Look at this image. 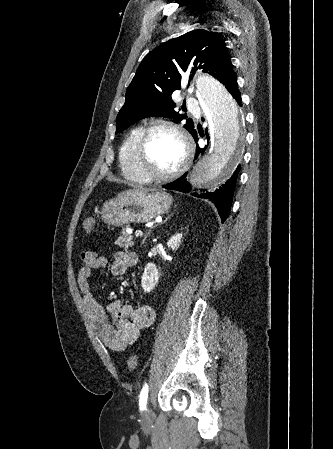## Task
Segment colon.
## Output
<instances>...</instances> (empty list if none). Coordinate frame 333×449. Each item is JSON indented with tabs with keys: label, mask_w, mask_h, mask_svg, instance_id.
Wrapping results in <instances>:
<instances>
[{
	"label": "colon",
	"mask_w": 333,
	"mask_h": 449,
	"mask_svg": "<svg viewBox=\"0 0 333 449\" xmlns=\"http://www.w3.org/2000/svg\"><path fill=\"white\" fill-rule=\"evenodd\" d=\"M95 223V218H87L83 223L84 231L87 233L91 232L95 227ZM127 365L130 370H135L138 366V357L136 355H131L127 360Z\"/></svg>",
	"instance_id": "1"
}]
</instances>
